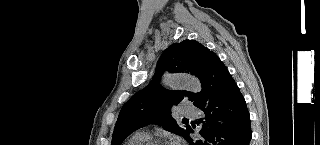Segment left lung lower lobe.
Segmentation results:
<instances>
[{
    "instance_id": "1",
    "label": "left lung lower lobe",
    "mask_w": 320,
    "mask_h": 145,
    "mask_svg": "<svg viewBox=\"0 0 320 145\" xmlns=\"http://www.w3.org/2000/svg\"><path fill=\"white\" fill-rule=\"evenodd\" d=\"M201 82L195 106L202 110L197 121L202 138L194 141L188 134L189 145H249L252 134L245 99L220 59L208 67Z\"/></svg>"
}]
</instances>
